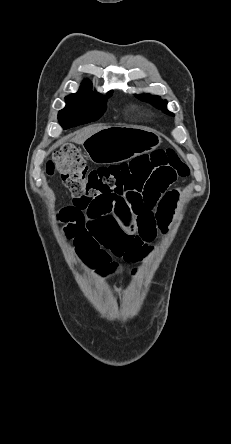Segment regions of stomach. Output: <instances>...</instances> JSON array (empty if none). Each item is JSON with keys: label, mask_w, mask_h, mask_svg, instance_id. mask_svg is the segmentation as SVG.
I'll return each instance as SVG.
<instances>
[{"label": "stomach", "mask_w": 231, "mask_h": 444, "mask_svg": "<svg viewBox=\"0 0 231 444\" xmlns=\"http://www.w3.org/2000/svg\"><path fill=\"white\" fill-rule=\"evenodd\" d=\"M161 138L143 126H115L102 129L83 142L87 157L94 163H119L157 148Z\"/></svg>", "instance_id": "stomach-1"}]
</instances>
